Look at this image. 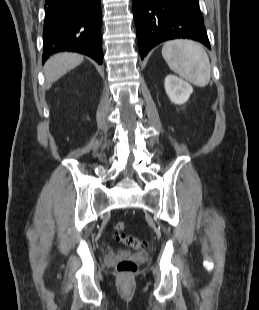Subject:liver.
<instances>
[{
    "label": "liver",
    "mask_w": 259,
    "mask_h": 310,
    "mask_svg": "<svg viewBox=\"0 0 259 310\" xmlns=\"http://www.w3.org/2000/svg\"><path fill=\"white\" fill-rule=\"evenodd\" d=\"M83 62V56L77 53H58L52 56L44 66L47 86H51L59 78Z\"/></svg>",
    "instance_id": "6515ba94"
}]
</instances>
